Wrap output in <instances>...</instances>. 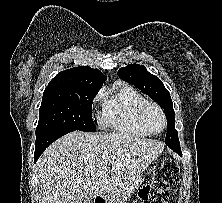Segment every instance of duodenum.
Wrapping results in <instances>:
<instances>
[{
  "instance_id": "duodenum-1",
  "label": "duodenum",
  "mask_w": 222,
  "mask_h": 203,
  "mask_svg": "<svg viewBox=\"0 0 222 203\" xmlns=\"http://www.w3.org/2000/svg\"><path fill=\"white\" fill-rule=\"evenodd\" d=\"M96 203H104V201L103 200H99Z\"/></svg>"
}]
</instances>
